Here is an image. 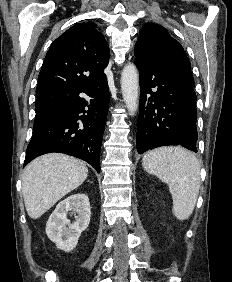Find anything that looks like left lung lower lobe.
Returning a JSON list of instances; mask_svg holds the SVG:
<instances>
[{"label": "left lung lower lobe", "instance_id": "left-lung-lower-lobe-1", "mask_svg": "<svg viewBox=\"0 0 232 282\" xmlns=\"http://www.w3.org/2000/svg\"><path fill=\"white\" fill-rule=\"evenodd\" d=\"M140 76L137 152L181 145L197 152V110L190 62L181 56L136 57Z\"/></svg>", "mask_w": 232, "mask_h": 282}]
</instances>
